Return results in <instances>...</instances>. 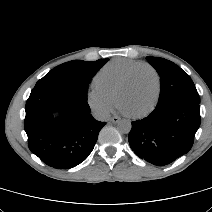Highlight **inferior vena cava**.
<instances>
[{"instance_id":"602c4592","label":"inferior vena cava","mask_w":212,"mask_h":212,"mask_svg":"<svg viewBox=\"0 0 212 212\" xmlns=\"http://www.w3.org/2000/svg\"><path fill=\"white\" fill-rule=\"evenodd\" d=\"M93 116L99 121H107L110 119V113L106 110L96 109L93 111Z\"/></svg>"}]
</instances>
